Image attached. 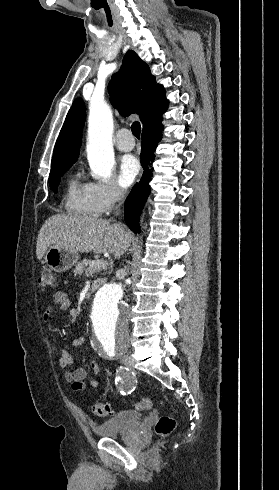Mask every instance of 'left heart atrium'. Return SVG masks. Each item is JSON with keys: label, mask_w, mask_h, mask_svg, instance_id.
<instances>
[{"label": "left heart atrium", "mask_w": 279, "mask_h": 490, "mask_svg": "<svg viewBox=\"0 0 279 490\" xmlns=\"http://www.w3.org/2000/svg\"><path fill=\"white\" fill-rule=\"evenodd\" d=\"M140 172V162L133 155H125L120 160L119 166V179L120 182L128 186L138 176Z\"/></svg>", "instance_id": "1"}]
</instances>
